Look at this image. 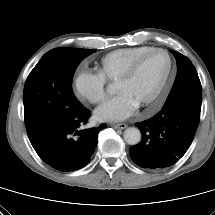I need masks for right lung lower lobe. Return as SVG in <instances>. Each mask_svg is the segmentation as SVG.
<instances>
[{
    "mask_svg": "<svg viewBox=\"0 0 215 215\" xmlns=\"http://www.w3.org/2000/svg\"><path fill=\"white\" fill-rule=\"evenodd\" d=\"M90 112L85 107L52 123L29 137L39 157L51 167L62 171H75L86 166L98 142V134L106 128L80 129L86 124Z\"/></svg>",
    "mask_w": 215,
    "mask_h": 215,
    "instance_id": "right-lung-lower-lobe-1",
    "label": "right lung lower lobe"
}]
</instances>
